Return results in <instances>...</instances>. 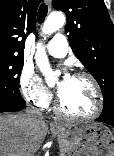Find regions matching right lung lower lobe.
Returning a JSON list of instances; mask_svg holds the SVG:
<instances>
[{
    "label": "right lung lower lobe",
    "instance_id": "obj_1",
    "mask_svg": "<svg viewBox=\"0 0 114 156\" xmlns=\"http://www.w3.org/2000/svg\"><path fill=\"white\" fill-rule=\"evenodd\" d=\"M25 106V101L14 102L8 100H0V112L20 111Z\"/></svg>",
    "mask_w": 114,
    "mask_h": 156
}]
</instances>
